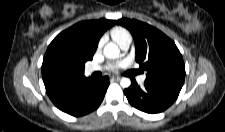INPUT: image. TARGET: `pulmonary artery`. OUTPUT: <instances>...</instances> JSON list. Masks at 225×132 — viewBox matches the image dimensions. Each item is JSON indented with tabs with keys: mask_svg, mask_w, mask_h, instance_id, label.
<instances>
[{
	"mask_svg": "<svg viewBox=\"0 0 225 132\" xmlns=\"http://www.w3.org/2000/svg\"><path fill=\"white\" fill-rule=\"evenodd\" d=\"M130 43H131L130 41H126V42L122 43L120 45L121 49L127 50L129 48V46H130ZM99 70H101V67L100 66H97V65L89 66L86 69L87 73H93V72L99 71ZM145 79H146V76L145 75H140V76L137 77V81L140 84L144 83Z\"/></svg>",
	"mask_w": 225,
	"mask_h": 132,
	"instance_id": "e3ab8cb5",
	"label": "pulmonary artery"
}]
</instances>
